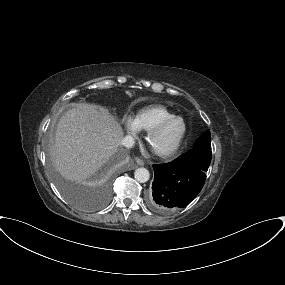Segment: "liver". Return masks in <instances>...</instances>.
I'll list each match as a JSON object with an SVG mask.
<instances>
[{"instance_id":"1","label":"liver","mask_w":285,"mask_h":285,"mask_svg":"<svg viewBox=\"0 0 285 285\" xmlns=\"http://www.w3.org/2000/svg\"><path fill=\"white\" fill-rule=\"evenodd\" d=\"M122 138L120 124L106 108L76 104L57 124L51 149L54 165L64 177L84 181L114 154Z\"/></svg>"}]
</instances>
